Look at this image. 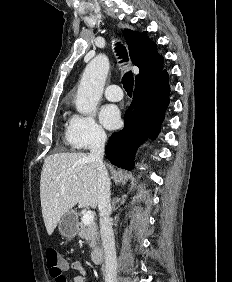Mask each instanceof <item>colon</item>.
<instances>
[{
  "instance_id": "1",
  "label": "colon",
  "mask_w": 232,
  "mask_h": 282,
  "mask_svg": "<svg viewBox=\"0 0 232 282\" xmlns=\"http://www.w3.org/2000/svg\"><path fill=\"white\" fill-rule=\"evenodd\" d=\"M46 264L52 277H61L63 275L64 260L59 252L54 248H47L45 251Z\"/></svg>"
}]
</instances>
